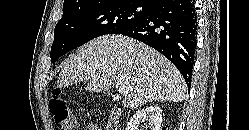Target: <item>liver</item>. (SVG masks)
<instances>
[{"instance_id":"1","label":"liver","mask_w":249,"mask_h":130,"mask_svg":"<svg viewBox=\"0 0 249 130\" xmlns=\"http://www.w3.org/2000/svg\"><path fill=\"white\" fill-rule=\"evenodd\" d=\"M88 80L86 89L99 92L125 86V108L152 101L182 102L186 84L179 70L153 48L122 35H105L91 40L64 63L58 86Z\"/></svg>"}]
</instances>
